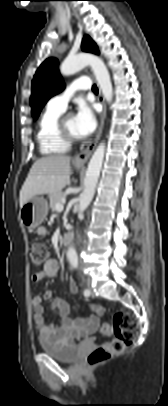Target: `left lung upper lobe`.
I'll use <instances>...</instances> for the list:
<instances>
[{"mask_svg": "<svg viewBox=\"0 0 168 406\" xmlns=\"http://www.w3.org/2000/svg\"><path fill=\"white\" fill-rule=\"evenodd\" d=\"M82 50L99 54L94 41L85 35L82 41ZM65 88L58 70V60L55 58L46 59L38 68L32 80L31 107L32 115L37 118L46 102L54 95Z\"/></svg>", "mask_w": 168, "mask_h": 406, "instance_id": "left-lung-upper-lobe-1", "label": "left lung upper lobe"}]
</instances>
